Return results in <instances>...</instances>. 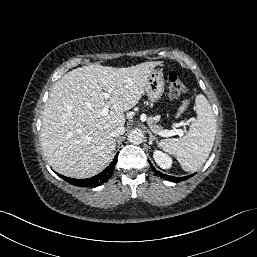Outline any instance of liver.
<instances>
[{"mask_svg":"<svg viewBox=\"0 0 257 257\" xmlns=\"http://www.w3.org/2000/svg\"><path fill=\"white\" fill-rule=\"evenodd\" d=\"M161 62L126 68L88 65L73 69L53 86L40 134L44 156L55 171L89 178L110 162L116 143L111 131L125 124L124 112L144 93L149 75ZM111 91L109 98L101 95ZM105 105L111 109L101 115Z\"/></svg>","mask_w":257,"mask_h":257,"instance_id":"liver-1","label":"liver"}]
</instances>
